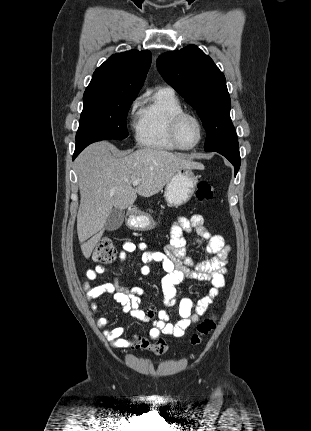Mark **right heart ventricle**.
Here are the masks:
<instances>
[{"label": "right heart ventricle", "mask_w": 311, "mask_h": 431, "mask_svg": "<svg viewBox=\"0 0 311 431\" xmlns=\"http://www.w3.org/2000/svg\"><path fill=\"white\" fill-rule=\"evenodd\" d=\"M184 105L173 90L159 88L139 112L135 141L141 147L172 152L178 150L171 137V121Z\"/></svg>", "instance_id": "right-heart-ventricle-1"}]
</instances>
